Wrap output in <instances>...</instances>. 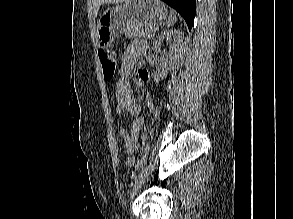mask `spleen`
Instances as JSON below:
<instances>
[{"label":"spleen","instance_id":"3e777b00","mask_svg":"<svg viewBox=\"0 0 293 219\" xmlns=\"http://www.w3.org/2000/svg\"><path fill=\"white\" fill-rule=\"evenodd\" d=\"M177 21V17L175 15V12L173 10H170V15L168 17L167 26L170 27Z\"/></svg>","mask_w":293,"mask_h":219}]
</instances>
